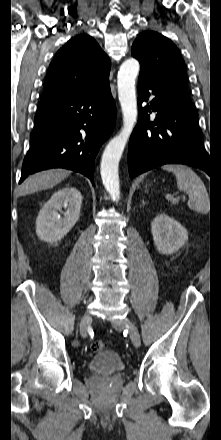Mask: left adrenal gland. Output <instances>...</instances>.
I'll return each mask as SVG.
<instances>
[{"mask_svg":"<svg viewBox=\"0 0 221 440\" xmlns=\"http://www.w3.org/2000/svg\"><path fill=\"white\" fill-rule=\"evenodd\" d=\"M146 204V201H144V199L142 200V206H144Z\"/></svg>","mask_w":221,"mask_h":440,"instance_id":"1","label":"left adrenal gland"}]
</instances>
